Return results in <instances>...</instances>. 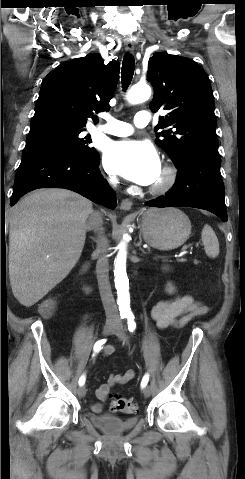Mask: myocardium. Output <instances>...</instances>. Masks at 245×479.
I'll list each match as a JSON object with an SVG mask.
<instances>
[{
	"instance_id": "obj_1",
	"label": "myocardium",
	"mask_w": 245,
	"mask_h": 479,
	"mask_svg": "<svg viewBox=\"0 0 245 479\" xmlns=\"http://www.w3.org/2000/svg\"><path fill=\"white\" fill-rule=\"evenodd\" d=\"M176 170L170 165H165L161 170L160 179L155 182L150 192L153 194H163L169 191L176 182Z\"/></svg>"
}]
</instances>
